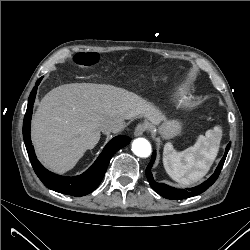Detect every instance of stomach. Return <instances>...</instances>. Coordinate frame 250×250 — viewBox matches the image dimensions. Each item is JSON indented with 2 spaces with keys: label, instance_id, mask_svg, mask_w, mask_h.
<instances>
[{
  "label": "stomach",
  "instance_id": "0dacf381",
  "mask_svg": "<svg viewBox=\"0 0 250 250\" xmlns=\"http://www.w3.org/2000/svg\"><path fill=\"white\" fill-rule=\"evenodd\" d=\"M181 123L177 120H166L158 128L159 133L165 139L173 138L181 133Z\"/></svg>",
  "mask_w": 250,
  "mask_h": 250
}]
</instances>
